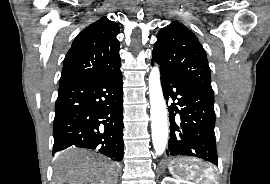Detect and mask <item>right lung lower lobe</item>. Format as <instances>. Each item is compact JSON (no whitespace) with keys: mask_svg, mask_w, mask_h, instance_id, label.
Instances as JSON below:
<instances>
[{"mask_svg":"<svg viewBox=\"0 0 270 184\" xmlns=\"http://www.w3.org/2000/svg\"><path fill=\"white\" fill-rule=\"evenodd\" d=\"M53 154L70 146L123 158V90L120 68L113 73L59 86Z\"/></svg>","mask_w":270,"mask_h":184,"instance_id":"98d812e1","label":"right lung lower lobe"}]
</instances>
